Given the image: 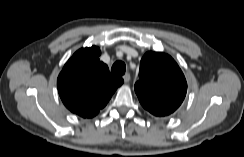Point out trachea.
<instances>
[{"label": "trachea", "instance_id": "3493384b", "mask_svg": "<svg viewBox=\"0 0 244 157\" xmlns=\"http://www.w3.org/2000/svg\"><path fill=\"white\" fill-rule=\"evenodd\" d=\"M126 71V66L123 62L117 61L113 64L111 72L115 75H123Z\"/></svg>", "mask_w": 244, "mask_h": 157}]
</instances>
